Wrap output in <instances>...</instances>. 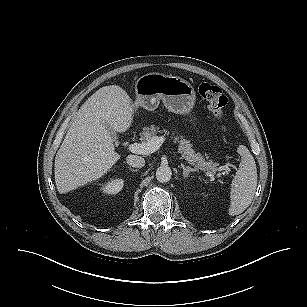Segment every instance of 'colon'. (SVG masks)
I'll use <instances>...</instances> for the list:
<instances>
[{"instance_id":"1","label":"colon","mask_w":307,"mask_h":307,"mask_svg":"<svg viewBox=\"0 0 307 307\" xmlns=\"http://www.w3.org/2000/svg\"><path fill=\"white\" fill-rule=\"evenodd\" d=\"M199 93L207 102L212 114L219 120L223 119L227 111L228 100L221 89L209 83H202L199 87Z\"/></svg>"}]
</instances>
